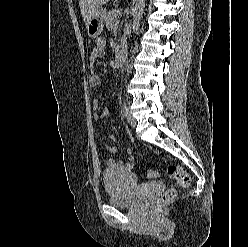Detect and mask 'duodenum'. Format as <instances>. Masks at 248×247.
Listing matches in <instances>:
<instances>
[{
	"mask_svg": "<svg viewBox=\"0 0 248 247\" xmlns=\"http://www.w3.org/2000/svg\"><path fill=\"white\" fill-rule=\"evenodd\" d=\"M126 58H127V54H126V51L125 50H120L119 53H118V56H117V62L120 66H122L125 61H126Z\"/></svg>",
	"mask_w": 248,
	"mask_h": 247,
	"instance_id": "obj_1",
	"label": "duodenum"
}]
</instances>
